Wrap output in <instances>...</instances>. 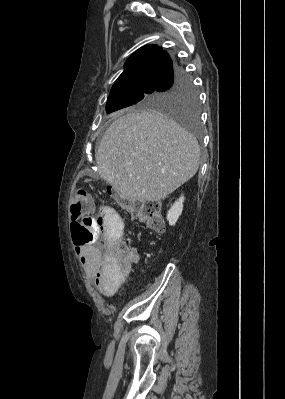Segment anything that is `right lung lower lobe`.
Listing matches in <instances>:
<instances>
[{
    "mask_svg": "<svg viewBox=\"0 0 285 399\" xmlns=\"http://www.w3.org/2000/svg\"><path fill=\"white\" fill-rule=\"evenodd\" d=\"M185 73L176 63H173L165 73L160 85L171 83L181 78Z\"/></svg>",
    "mask_w": 285,
    "mask_h": 399,
    "instance_id": "1",
    "label": "right lung lower lobe"
}]
</instances>
